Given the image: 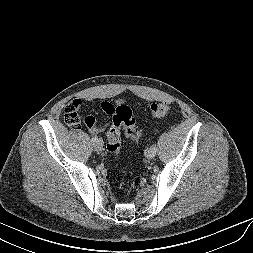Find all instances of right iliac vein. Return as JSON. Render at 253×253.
Returning <instances> with one entry per match:
<instances>
[{"mask_svg":"<svg viewBox=\"0 0 253 253\" xmlns=\"http://www.w3.org/2000/svg\"><path fill=\"white\" fill-rule=\"evenodd\" d=\"M103 141L102 140H96L94 143H93V147H94V150L95 151H102L103 150Z\"/></svg>","mask_w":253,"mask_h":253,"instance_id":"1","label":"right iliac vein"}]
</instances>
